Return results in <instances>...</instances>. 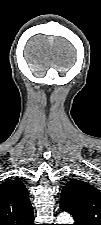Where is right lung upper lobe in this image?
<instances>
[{
	"mask_svg": "<svg viewBox=\"0 0 101 225\" xmlns=\"http://www.w3.org/2000/svg\"><path fill=\"white\" fill-rule=\"evenodd\" d=\"M28 190L19 181L8 180L0 185V225H34Z\"/></svg>",
	"mask_w": 101,
	"mask_h": 225,
	"instance_id": "cb5924a9",
	"label": "right lung upper lobe"
}]
</instances>
